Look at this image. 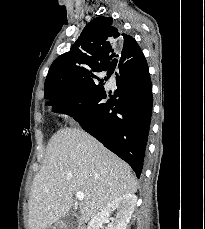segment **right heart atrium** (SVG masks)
Returning a JSON list of instances; mask_svg holds the SVG:
<instances>
[{
	"instance_id": "obj_1",
	"label": "right heart atrium",
	"mask_w": 205,
	"mask_h": 229,
	"mask_svg": "<svg viewBox=\"0 0 205 229\" xmlns=\"http://www.w3.org/2000/svg\"><path fill=\"white\" fill-rule=\"evenodd\" d=\"M63 116H64L65 118L69 119V120H72L73 117H74V115H73V113H72L71 111H64V112H63Z\"/></svg>"
}]
</instances>
